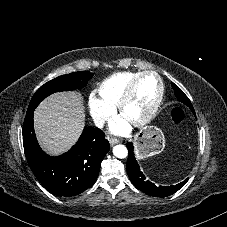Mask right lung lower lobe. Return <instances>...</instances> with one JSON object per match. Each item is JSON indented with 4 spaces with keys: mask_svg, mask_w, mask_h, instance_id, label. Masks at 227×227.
I'll return each mask as SVG.
<instances>
[{
    "mask_svg": "<svg viewBox=\"0 0 227 227\" xmlns=\"http://www.w3.org/2000/svg\"><path fill=\"white\" fill-rule=\"evenodd\" d=\"M34 110L27 111L23 125V146L27 162L39 182L57 196H74L95 183L101 161L110 149L103 131L85 127L77 143L58 157L40 148L33 127Z\"/></svg>",
    "mask_w": 227,
    "mask_h": 227,
    "instance_id": "98d812e1",
    "label": "right lung lower lobe"
}]
</instances>
